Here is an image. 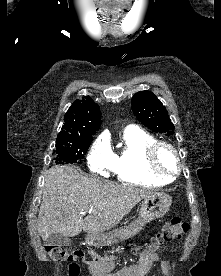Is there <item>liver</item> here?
<instances>
[{
  "label": "liver",
  "mask_w": 221,
  "mask_h": 276,
  "mask_svg": "<svg viewBox=\"0 0 221 276\" xmlns=\"http://www.w3.org/2000/svg\"><path fill=\"white\" fill-rule=\"evenodd\" d=\"M153 193L146 188L100 181L72 166H53L45 176L38 231L44 241L53 233L66 237H74L82 230L102 233ZM89 209L83 219V212Z\"/></svg>",
  "instance_id": "liver-1"
}]
</instances>
